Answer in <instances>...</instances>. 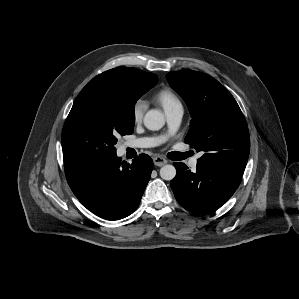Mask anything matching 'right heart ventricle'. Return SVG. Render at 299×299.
<instances>
[{
    "label": "right heart ventricle",
    "mask_w": 299,
    "mask_h": 299,
    "mask_svg": "<svg viewBox=\"0 0 299 299\" xmlns=\"http://www.w3.org/2000/svg\"><path fill=\"white\" fill-rule=\"evenodd\" d=\"M154 100L158 103L165 112L170 109L182 106L179 97L170 89H162L157 92L154 96Z\"/></svg>",
    "instance_id": "obj_1"
}]
</instances>
